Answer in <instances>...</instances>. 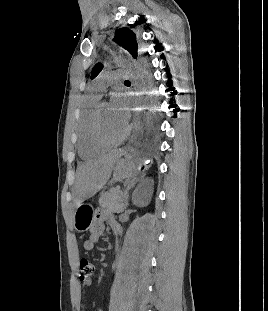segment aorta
Listing matches in <instances>:
<instances>
[{
    "label": "aorta",
    "mask_w": 268,
    "mask_h": 311,
    "mask_svg": "<svg viewBox=\"0 0 268 311\" xmlns=\"http://www.w3.org/2000/svg\"><path fill=\"white\" fill-rule=\"evenodd\" d=\"M126 73H127L128 77H129V79H132V81H135V79H138V77H139V74H138L136 68L129 67L126 70ZM136 98H139V89H136ZM135 107H138V101H135ZM137 123H138V109H135V123H134V126H137ZM137 131H138V129L136 128L135 131H134V135H133V140L134 141L137 138Z\"/></svg>",
    "instance_id": "obj_1"
}]
</instances>
